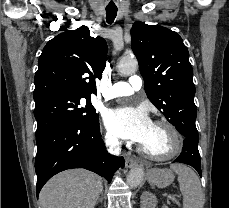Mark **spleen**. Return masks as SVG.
I'll list each match as a JSON object with an SVG mask.
<instances>
[{
    "mask_svg": "<svg viewBox=\"0 0 229 208\" xmlns=\"http://www.w3.org/2000/svg\"><path fill=\"white\" fill-rule=\"evenodd\" d=\"M170 168L175 174H178V182L183 196V208H203L201 184L195 172L182 164H171Z\"/></svg>",
    "mask_w": 229,
    "mask_h": 208,
    "instance_id": "obj_1",
    "label": "spleen"
}]
</instances>
